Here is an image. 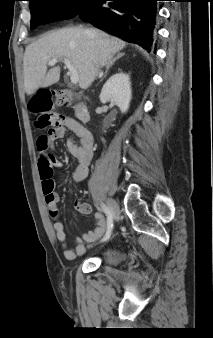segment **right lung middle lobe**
<instances>
[{
  "label": "right lung middle lobe",
  "instance_id": "1",
  "mask_svg": "<svg viewBox=\"0 0 213 338\" xmlns=\"http://www.w3.org/2000/svg\"><path fill=\"white\" fill-rule=\"evenodd\" d=\"M96 0H29L31 28L51 21L67 19L79 14ZM69 7L71 13L63 15V9Z\"/></svg>",
  "mask_w": 213,
  "mask_h": 338
}]
</instances>
